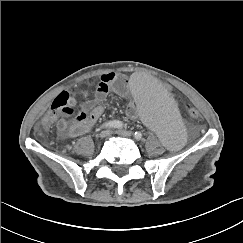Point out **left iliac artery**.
Returning a JSON list of instances; mask_svg holds the SVG:
<instances>
[{"label":"left iliac artery","mask_w":243,"mask_h":243,"mask_svg":"<svg viewBox=\"0 0 243 243\" xmlns=\"http://www.w3.org/2000/svg\"><path fill=\"white\" fill-rule=\"evenodd\" d=\"M134 137L137 139V140H140V139H142V133L141 132H135L134 133Z\"/></svg>","instance_id":"1"}]
</instances>
